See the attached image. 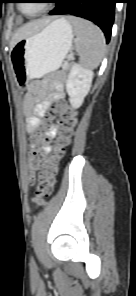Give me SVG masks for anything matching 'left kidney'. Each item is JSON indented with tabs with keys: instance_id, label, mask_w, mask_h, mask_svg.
<instances>
[{
	"instance_id": "obj_1",
	"label": "left kidney",
	"mask_w": 136,
	"mask_h": 296,
	"mask_svg": "<svg viewBox=\"0 0 136 296\" xmlns=\"http://www.w3.org/2000/svg\"><path fill=\"white\" fill-rule=\"evenodd\" d=\"M93 79V71L80 64H74L66 82L69 102L75 109L79 108L88 94Z\"/></svg>"
}]
</instances>
